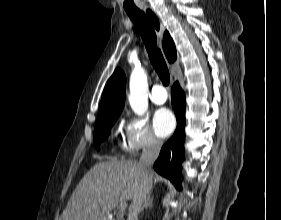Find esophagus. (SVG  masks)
<instances>
[{
	"label": "esophagus",
	"mask_w": 281,
	"mask_h": 220,
	"mask_svg": "<svg viewBox=\"0 0 281 220\" xmlns=\"http://www.w3.org/2000/svg\"><path fill=\"white\" fill-rule=\"evenodd\" d=\"M143 11L149 23L152 25L153 29L155 30L158 38L161 40L164 32L163 24L161 23L157 14L153 11L152 8L145 6L143 7ZM176 81V76L172 73L171 74V82L174 83Z\"/></svg>",
	"instance_id": "1"
}]
</instances>
